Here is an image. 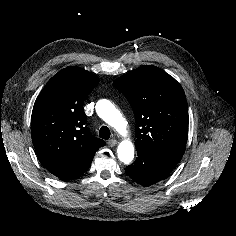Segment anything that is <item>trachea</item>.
Segmentation results:
<instances>
[{"mask_svg": "<svg viewBox=\"0 0 236 236\" xmlns=\"http://www.w3.org/2000/svg\"><path fill=\"white\" fill-rule=\"evenodd\" d=\"M99 137L105 140L110 138V130L107 126H102L99 130Z\"/></svg>", "mask_w": 236, "mask_h": 236, "instance_id": "obj_1", "label": "trachea"}]
</instances>
